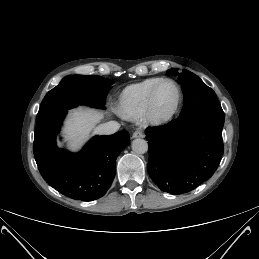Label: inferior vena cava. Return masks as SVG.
<instances>
[{"instance_id":"obj_1","label":"inferior vena cava","mask_w":259,"mask_h":259,"mask_svg":"<svg viewBox=\"0 0 259 259\" xmlns=\"http://www.w3.org/2000/svg\"><path fill=\"white\" fill-rule=\"evenodd\" d=\"M120 128V124L116 121H109L98 125L95 128V133L99 135H110L117 132Z\"/></svg>"}]
</instances>
